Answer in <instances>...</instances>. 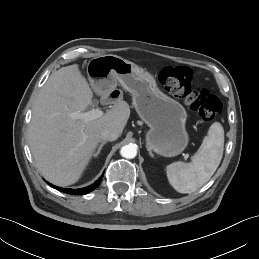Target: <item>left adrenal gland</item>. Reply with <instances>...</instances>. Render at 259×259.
<instances>
[{
  "label": "left adrenal gland",
  "mask_w": 259,
  "mask_h": 259,
  "mask_svg": "<svg viewBox=\"0 0 259 259\" xmlns=\"http://www.w3.org/2000/svg\"><path fill=\"white\" fill-rule=\"evenodd\" d=\"M149 154H150V156H151V157H153V154H152V152H151V151L149 152Z\"/></svg>",
  "instance_id": "1"
}]
</instances>
